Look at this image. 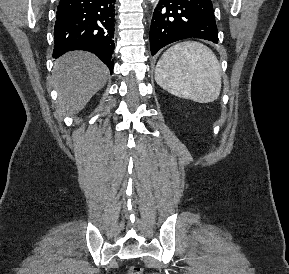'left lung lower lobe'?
Listing matches in <instances>:
<instances>
[{"instance_id": "0a47b994", "label": "left lung lower lobe", "mask_w": 289, "mask_h": 274, "mask_svg": "<svg viewBox=\"0 0 289 274\" xmlns=\"http://www.w3.org/2000/svg\"><path fill=\"white\" fill-rule=\"evenodd\" d=\"M186 38L218 43L212 1L160 0L150 28L152 56L164 46Z\"/></svg>"}]
</instances>
